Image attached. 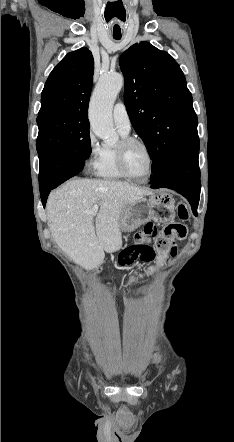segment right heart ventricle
<instances>
[{"mask_svg": "<svg viewBox=\"0 0 234 442\" xmlns=\"http://www.w3.org/2000/svg\"><path fill=\"white\" fill-rule=\"evenodd\" d=\"M122 137H127V134L121 133ZM96 174L107 180H122L126 177L121 173L117 165L116 150L114 147L105 146L103 153L96 169Z\"/></svg>", "mask_w": 234, "mask_h": 442, "instance_id": "1", "label": "right heart ventricle"}]
</instances>
